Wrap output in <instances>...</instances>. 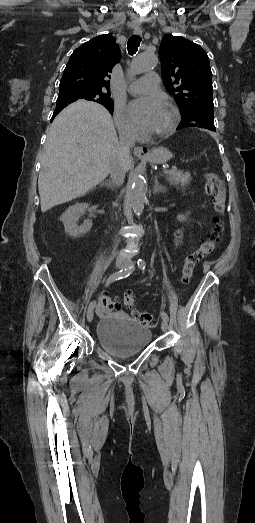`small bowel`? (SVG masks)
<instances>
[{
    "instance_id": "c3829d8e",
    "label": "small bowel",
    "mask_w": 255,
    "mask_h": 523,
    "mask_svg": "<svg viewBox=\"0 0 255 523\" xmlns=\"http://www.w3.org/2000/svg\"><path fill=\"white\" fill-rule=\"evenodd\" d=\"M183 232L181 229L177 230L174 234L175 244L178 245L182 241Z\"/></svg>"
}]
</instances>
